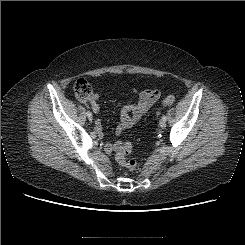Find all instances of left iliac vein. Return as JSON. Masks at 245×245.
Listing matches in <instances>:
<instances>
[{
    "instance_id": "left-iliac-vein-1",
    "label": "left iliac vein",
    "mask_w": 245,
    "mask_h": 245,
    "mask_svg": "<svg viewBox=\"0 0 245 245\" xmlns=\"http://www.w3.org/2000/svg\"><path fill=\"white\" fill-rule=\"evenodd\" d=\"M159 126H160L161 128H165V126H166V121H164L163 119H161L160 122H159Z\"/></svg>"
}]
</instances>
